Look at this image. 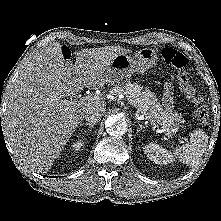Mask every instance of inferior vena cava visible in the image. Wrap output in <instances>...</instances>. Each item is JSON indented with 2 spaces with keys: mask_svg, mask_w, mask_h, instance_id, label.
<instances>
[{
  "mask_svg": "<svg viewBox=\"0 0 221 221\" xmlns=\"http://www.w3.org/2000/svg\"><path fill=\"white\" fill-rule=\"evenodd\" d=\"M105 113V108L104 107H92L90 108L86 115H85V119L90 122V123H96L98 122L102 116Z\"/></svg>",
  "mask_w": 221,
  "mask_h": 221,
  "instance_id": "obj_1",
  "label": "inferior vena cava"
}]
</instances>
